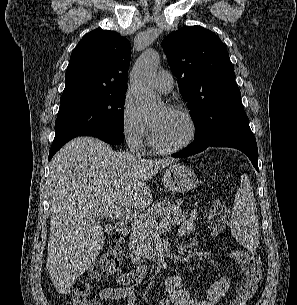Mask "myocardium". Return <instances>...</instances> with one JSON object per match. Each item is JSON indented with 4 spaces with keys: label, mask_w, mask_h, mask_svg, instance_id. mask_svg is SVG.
Masks as SVG:
<instances>
[{
    "label": "myocardium",
    "mask_w": 297,
    "mask_h": 305,
    "mask_svg": "<svg viewBox=\"0 0 297 305\" xmlns=\"http://www.w3.org/2000/svg\"><path fill=\"white\" fill-rule=\"evenodd\" d=\"M167 110L172 113L182 116L187 121L188 126H189V134L186 137V139L184 141H182L181 143L171 146V147H163L155 141L152 126H151L150 127V137H149L150 145L154 151H156L160 154H165V155L174 154V153L184 150L185 148H187L188 146H190L193 143V141L195 140L196 135H197V124H196L195 118L188 110L178 107V106L169 107Z\"/></svg>",
    "instance_id": "obj_1"
}]
</instances>
